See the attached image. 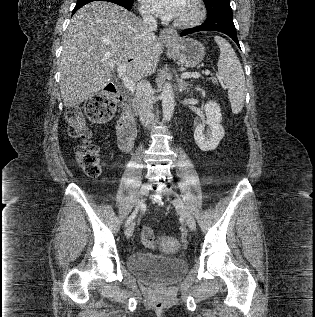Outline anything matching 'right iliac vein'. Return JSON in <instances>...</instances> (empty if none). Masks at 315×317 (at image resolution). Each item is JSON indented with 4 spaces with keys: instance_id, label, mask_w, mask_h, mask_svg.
<instances>
[{
    "instance_id": "right-iliac-vein-1",
    "label": "right iliac vein",
    "mask_w": 315,
    "mask_h": 317,
    "mask_svg": "<svg viewBox=\"0 0 315 317\" xmlns=\"http://www.w3.org/2000/svg\"><path fill=\"white\" fill-rule=\"evenodd\" d=\"M149 189H150V185L149 184H143L138 192V198L136 201V209H139L143 202L145 197L148 195L149 193ZM134 228H135V223L132 221L128 224L126 230H125V235L127 238H130L134 232Z\"/></svg>"
}]
</instances>
